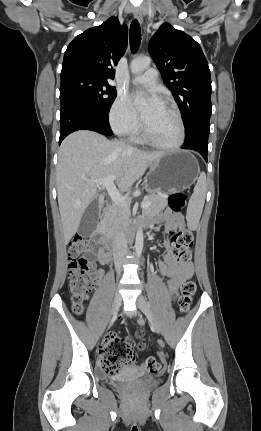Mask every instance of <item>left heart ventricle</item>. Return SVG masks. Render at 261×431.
Wrapping results in <instances>:
<instances>
[{"label":"left heart ventricle","mask_w":261,"mask_h":431,"mask_svg":"<svg viewBox=\"0 0 261 431\" xmlns=\"http://www.w3.org/2000/svg\"><path fill=\"white\" fill-rule=\"evenodd\" d=\"M144 125L160 144L171 145L178 138L179 127L176 117L163 104L150 115Z\"/></svg>","instance_id":"b2bd125f"}]
</instances>
